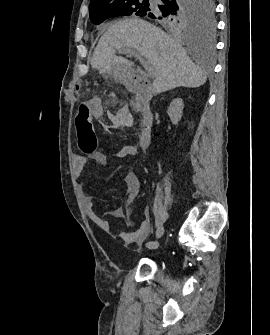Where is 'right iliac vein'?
Masks as SVG:
<instances>
[{"mask_svg": "<svg viewBox=\"0 0 270 335\" xmlns=\"http://www.w3.org/2000/svg\"><path fill=\"white\" fill-rule=\"evenodd\" d=\"M165 232V228L160 226L156 231V238L159 239Z\"/></svg>", "mask_w": 270, "mask_h": 335, "instance_id": "right-iliac-vein-1", "label": "right iliac vein"}]
</instances>
